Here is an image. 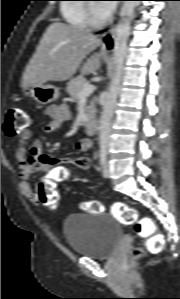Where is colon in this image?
I'll list each match as a JSON object with an SVG mask.
<instances>
[{
	"mask_svg": "<svg viewBox=\"0 0 180 299\" xmlns=\"http://www.w3.org/2000/svg\"><path fill=\"white\" fill-rule=\"evenodd\" d=\"M30 119L28 113L22 108H11L4 124V131L9 136H15L26 129ZM38 200L41 205L48 209H54L59 203V192L52 181L44 182L38 188ZM88 213H99L103 210L102 205L97 201H86L81 205ZM113 214L125 225H133L135 232L146 240V249L150 253H159L164 249V236L158 229L155 221L149 217L140 218L138 211L124 202H115L112 206ZM142 248L134 249L133 257L139 258L143 255Z\"/></svg>",
	"mask_w": 180,
	"mask_h": 299,
	"instance_id": "5ec220e1",
	"label": "colon"
}]
</instances>
